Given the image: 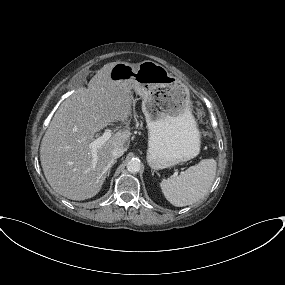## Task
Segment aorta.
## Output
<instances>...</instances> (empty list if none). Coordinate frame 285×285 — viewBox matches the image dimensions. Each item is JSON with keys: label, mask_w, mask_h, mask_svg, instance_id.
<instances>
[{"label": "aorta", "mask_w": 285, "mask_h": 285, "mask_svg": "<svg viewBox=\"0 0 285 285\" xmlns=\"http://www.w3.org/2000/svg\"><path fill=\"white\" fill-rule=\"evenodd\" d=\"M141 169V163L138 159H131L128 163H127V170L130 173H138Z\"/></svg>", "instance_id": "762f6f07"}]
</instances>
